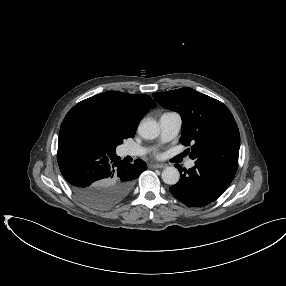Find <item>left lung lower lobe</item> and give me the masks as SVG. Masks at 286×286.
I'll return each mask as SVG.
<instances>
[{"mask_svg": "<svg viewBox=\"0 0 286 286\" xmlns=\"http://www.w3.org/2000/svg\"><path fill=\"white\" fill-rule=\"evenodd\" d=\"M176 166V165H175ZM180 180L170 187V192L182 203L198 207L216 200L230 185L235 174L220 167L196 164L189 170L177 165ZM183 172V173H182Z\"/></svg>", "mask_w": 286, "mask_h": 286, "instance_id": "obj_1", "label": "left lung lower lobe"}]
</instances>
